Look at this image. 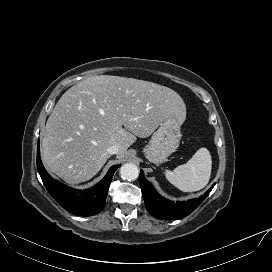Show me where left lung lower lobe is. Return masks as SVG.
Here are the masks:
<instances>
[{"mask_svg": "<svg viewBox=\"0 0 272 272\" xmlns=\"http://www.w3.org/2000/svg\"><path fill=\"white\" fill-rule=\"evenodd\" d=\"M139 184L147 210L155 218L162 220H175L189 215L202 203L215 185L213 184L211 188L198 199L195 198L175 203L159 195L152 185L145 179L144 172L142 170L139 175Z\"/></svg>", "mask_w": 272, "mask_h": 272, "instance_id": "left-lung-lower-lobe-1", "label": "left lung lower lobe"}]
</instances>
